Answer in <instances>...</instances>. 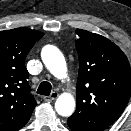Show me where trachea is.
Wrapping results in <instances>:
<instances>
[{
    "instance_id": "3493384b",
    "label": "trachea",
    "mask_w": 131,
    "mask_h": 131,
    "mask_svg": "<svg viewBox=\"0 0 131 131\" xmlns=\"http://www.w3.org/2000/svg\"><path fill=\"white\" fill-rule=\"evenodd\" d=\"M52 90V86L49 82L47 81H43L38 89H37V93L40 95H45V96H49Z\"/></svg>"
}]
</instances>
